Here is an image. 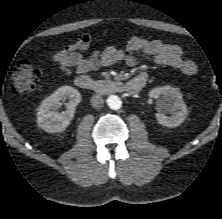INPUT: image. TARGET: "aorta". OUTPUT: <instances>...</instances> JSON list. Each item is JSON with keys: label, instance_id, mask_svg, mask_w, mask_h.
Here are the masks:
<instances>
[{"label": "aorta", "instance_id": "762f6f07", "mask_svg": "<svg viewBox=\"0 0 222 219\" xmlns=\"http://www.w3.org/2000/svg\"><path fill=\"white\" fill-rule=\"evenodd\" d=\"M107 104L111 109L117 110L121 108L122 102L118 96L110 95L107 99Z\"/></svg>", "mask_w": 222, "mask_h": 219}]
</instances>
